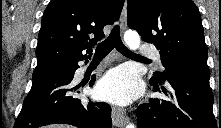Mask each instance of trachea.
<instances>
[{
	"mask_svg": "<svg viewBox=\"0 0 221 128\" xmlns=\"http://www.w3.org/2000/svg\"><path fill=\"white\" fill-rule=\"evenodd\" d=\"M114 48L123 55L140 58V55L131 52L125 47L120 37V28L118 25H115L109 37L97 46L94 57L106 56Z\"/></svg>",
	"mask_w": 221,
	"mask_h": 128,
	"instance_id": "obj_1",
	"label": "trachea"
}]
</instances>
